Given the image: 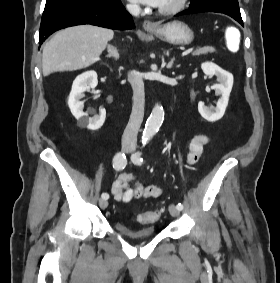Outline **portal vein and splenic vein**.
<instances>
[{
  "mask_svg": "<svg viewBox=\"0 0 280 283\" xmlns=\"http://www.w3.org/2000/svg\"><path fill=\"white\" fill-rule=\"evenodd\" d=\"M192 51H193V48H189V49L185 50V51L182 53L181 56H186V55L190 54Z\"/></svg>",
  "mask_w": 280,
  "mask_h": 283,
  "instance_id": "1",
  "label": "portal vein and splenic vein"
}]
</instances>
